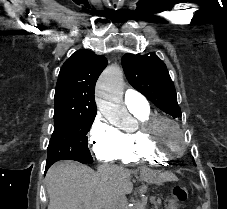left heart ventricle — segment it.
Here are the masks:
<instances>
[{
	"instance_id": "b2bd125f",
	"label": "left heart ventricle",
	"mask_w": 227,
	"mask_h": 209,
	"mask_svg": "<svg viewBox=\"0 0 227 209\" xmlns=\"http://www.w3.org/2000/svg\"><path fill=\"white\" fill-rule=\"evenodd\" d=\"M155 139L165 151L181 150L184 146V138L168 122H162L155 131Z\"/></svg>"
}]
</instances>
